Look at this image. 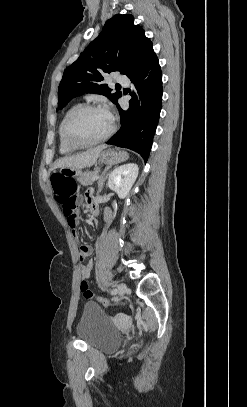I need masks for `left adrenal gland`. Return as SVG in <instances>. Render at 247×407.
<instances>
[{"mask_svg": "<svg viewBox=\"0 0 247 407\" xmlns=\"http://www.w3.org/2000/svg\"><path fill=\"white\" fill-rule=\"evenodd\" d=\"M108 169H109V167L104 170V172L102 173V175H101L100 178L98 179V194H99V193L102 191V189H103L104 182H105V180L107 179V176H108V173H107Z\"/></svg>", "mask_w": 247, "mask_h": 407, "instance_id": "left-adrenal-gland-1", "label": "left adrenal gland"}]
</instances>
